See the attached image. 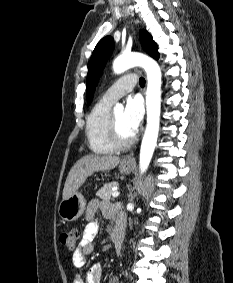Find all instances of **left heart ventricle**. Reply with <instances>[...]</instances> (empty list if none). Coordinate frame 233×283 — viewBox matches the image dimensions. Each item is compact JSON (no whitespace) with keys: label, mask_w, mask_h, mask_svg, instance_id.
Wrapping results in <instances>:
<instances>
[{"label":"left heart ventricle","mask_w":233,"mask_h":283,"mask_svg":"<svg viewBox=\"0 0 233 283\" xmlns=\"http://www.w3.org/2000/svg\"><path fill=\"white\" fill-rule=\"evenodd\" d=\"M118 135L122 140L130 138L133 134L128 130L124 120V111L120 110L114 113Z\"/></svg>","instance_id":"left-heart-ventricle-1"}]
</instances>
